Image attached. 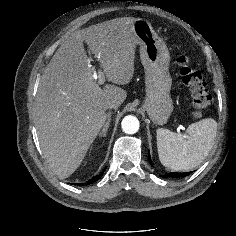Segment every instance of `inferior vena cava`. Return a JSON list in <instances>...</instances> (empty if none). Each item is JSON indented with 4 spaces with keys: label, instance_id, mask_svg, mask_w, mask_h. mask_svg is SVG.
<instances>
[{
    "label": "inferior vena cava",
    "instance_id": "1",
    "mask_svg": "<svg viewBox=\"0 0 236 236\" xmlns=\"http://www.w3.org/2000/svg\"><path fill=\"white\" fill-rule=\"evenodd\" d=\"M117 107H118V105L116 103H109L106 106L107 109H113V108H117Z\"/></svg>",
    "mask_w": 236,
    "mask_h": 236
}]
</instances>
